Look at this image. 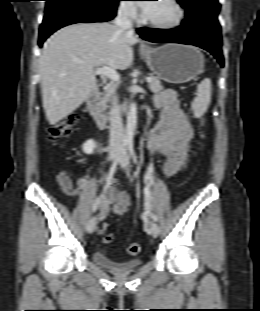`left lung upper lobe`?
I'll return each mask as SVG.
<instances>
[{"label":"left lung upper lobe","instance_id":"left-lung-upper-lobe-1","mask_svg":"<svg viewBox=\"0 0 260 311\" xmlns=\"http://www.w3.org/2000/svg\"><path fill=\"white\" fill-rule=\"evenodd\" d=\"M186 9V23H205L220 28L218 12L220 4L218 0H177Z\"/></svg>","mask_w":260,"mask_h":311}]
</instances>
